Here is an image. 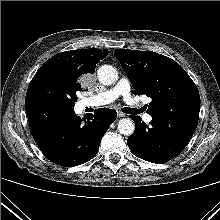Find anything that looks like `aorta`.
Wrapping results in <instances>:
<instances>
[{"instance_id": "aorta-1", "label": "aorta", "mask_w": 220, "mask_h": 220, "mask_svg": "<svg viewBox=\"0 0 220 220\" xmlns=\"http://www.w3.org/2000/svg\"><path fill=\"white\" fill-rule=\"evenodd\" d=\"M98 80L103 85H111L118 80V71L111 65H102L97 71ZM120 134L130 136L135 131L134 122L129 118H124L118 122Z\"/></svg>"}]
</instances>
